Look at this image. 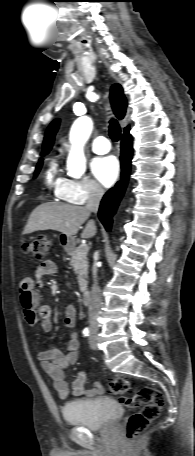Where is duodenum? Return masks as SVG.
Returning <instances> with one entry per match:
<instances>
[{"label": "duodenum", "mask_w": 195, "mask_h": 456, "mask_svg": "<svg viewBox=\"0 0 195 456\" xmlns=\"http://www.w3.org/2000/svg\"><path fill=\"white\" fill-rule=\"evenodd\" d=\"M81 299L84 304H89L90 302V291L85 289L81 293Z\"/></svg>", "instance_id": "obj_1"}]
</instances>
